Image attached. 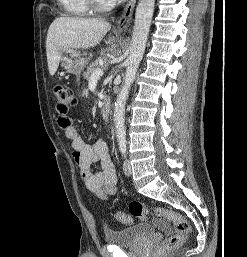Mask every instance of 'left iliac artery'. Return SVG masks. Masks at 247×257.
I'll return each instance as SVG.
<instances>
[{"instance_id": "obj_1", "label": "left iliac artery", "mask_w": 247, "mask_h": 257, "mask_svg": "<svg viewBox=\"0 0 247 257\" xmlns=\"http://www.w3.org/2000/svg\"><path fill=\"white\" fill-rule=\"evenodd\" d=\"M119 148L122 153V155H126V139L125 138H119L118 140Z\"/></svg>"}]
</instances>
